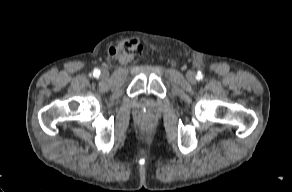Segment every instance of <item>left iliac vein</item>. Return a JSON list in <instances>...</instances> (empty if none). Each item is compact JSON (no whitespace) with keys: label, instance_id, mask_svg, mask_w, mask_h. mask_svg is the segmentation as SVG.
I'll use <instances>...</instances> for the list:
<instances>
[{"label":"left iliac vein","instance_id":"left-iliac-vein-1","mask_svg":"<svg viewBox=\"0 0 292 192\" xmlns=\"http://www.w3.org/2000/svg\"><path fill=\"white\" fill-rule=\"evenodd\" d=\"M187 78L190 82H194L195 81V74L190 71L187 73Z\"/></svg>","mask_w":292,"mask_h":192}]
</instances>
